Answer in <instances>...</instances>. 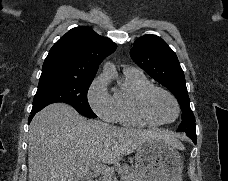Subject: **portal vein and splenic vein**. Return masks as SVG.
Listing matches in <instances>:
<instances>
[{"label":"portal vein and splenic vein","mask_w":228,"mask_h":181,"mask_svg":"<svg viewBox=\"0 0 228 181\" xmlns=\"http://www.w3.org/2000/svg\"><path fill=\"white\" fill-rule=\"evenodd\" d=\"M95 175H108L109 179L114 173V169H110L107 165H93Z\"/></svg>","instance_id":"18ae733b"}]
</instances>
